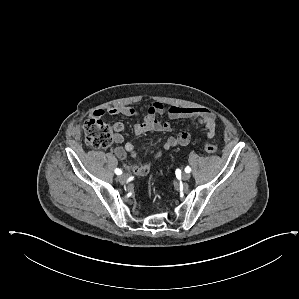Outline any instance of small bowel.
<instances>
[{"label":"small bowel","instance_id":"1","mask_svg":"<svg viewBox=\"0 0 299 299\" xmlns=\"http://www.w3.org/2000/svg\"><path fill=\"white\" fill-rule=\"evenodd\" d=\"M166 115L168 120L162 121L159 116ZM117 116L123 115L127 117H140L141 121L133 126V130L137 135H142L147 132H162L169 133L172 131L170 120L172 119H187L191 122L198 123L207 129V137L213 138L216 128V117L212 111L206 108H192V107H180L172 106L165 109L164 105L160 102H154L146 112H140L133 107L128 106H114L107 109L94 110L92 116L95 118L103 116ZM125 126L122 122H116L114 124V140L116 143L123 142L122 132ZM190 134L186 131H182L175 136H169L163 143V150L167 151L176 146H186L190 142ZM135 143L127 142L124 146H116L114 148L115 155L124 160L127 154H131L132 157H136ZM162 155V151H157L151 160L141 164L135 169V173L139 176L146 175L152 167L153 160L159 158Z\"/></svg>","mask_w":299,"mask_h":299}]
</instances>
